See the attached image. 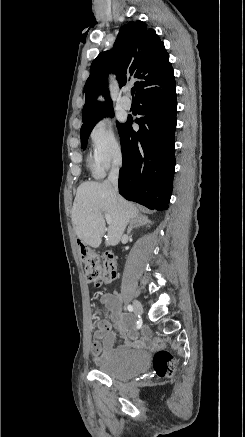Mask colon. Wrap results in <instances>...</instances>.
Returning <instances> with one entry per match:
<instances>
[{
    "label": "colon",
    "mask_w": 245,
    "mask_h": 437,
    "mask_svg": "<svg viewBox=\"0 0 245 437\" xmlns=\"http://www.w3.org/2000/svg\"><path fill=\"white\" fill-rule=\"evenodd\" d=\"M82 261L85 267L87 281L102 286L114 282L117 278V268L110 254H100L91 249L82 251ZM150 348L154 351L153 367L155 372L166 377L172 375L175 368L173 356L164 349L161 339H154Z\"/></svg>",
    "instance_id": "obj_1"
}]
</instances>
